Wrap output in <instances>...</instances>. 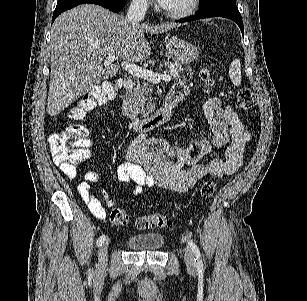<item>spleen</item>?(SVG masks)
<instances>
[{"label":"spleen","mask_w":307,"mask_h":301,"mask_svg":"<svg viewBox=\"0 0 307 301\" xmlns=\"http://www.w3.org/2000/svg\"><path fill=\"white\" fill-rule=\"evenodd\" d=\"M229 76L234 86H239V84H241L242 76H241V64L239 58H234V60H231V64L229 66Z\"/></svg>","instance_id":"3e777b00"}]
</instances>
